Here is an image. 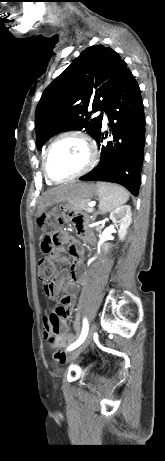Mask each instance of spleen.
Here are the masks:
<instances>
[{"label": "spleen", "instance_id": "1", "mask_svg": "<svg viewBox=\"0 0 165 461\" xmlns=\"http://www.w3.org/2000/svg\"><path fill=\"white\" fill-rule=\"evenodd\" d=\"M99 209L102 213L111 212L125 204L129 199L128 192L117 184L98 182Z\"/></svg>", "mask_w": 165, "mask_h": 461}]
</instances>
